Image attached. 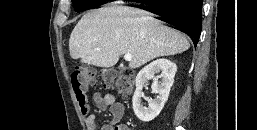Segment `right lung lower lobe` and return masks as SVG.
<instances>
[{"label": "right lung lower lobe", "instance_id": "1", "mask_svg": "<svg viewBox=\"0 0 257 130\" xmlns=\"http://www.w3.org/2000/svg\"><path fill=\"white\" fill-rule=\"evenodd\" d=\"M202 4L203 0L159 1L150 5L154 8L150 12L159 15L157 19L190 36L196 47L202 28Z\"/></svg>", "mask_w": 257, "mask_h": 130}]
</instances>
